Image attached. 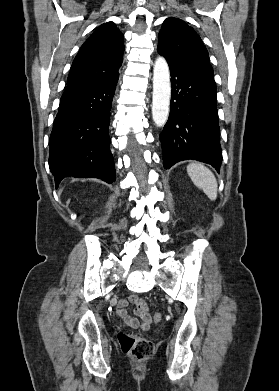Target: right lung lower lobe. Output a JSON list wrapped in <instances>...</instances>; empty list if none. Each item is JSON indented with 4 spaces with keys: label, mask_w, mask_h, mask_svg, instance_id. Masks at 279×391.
<instances>
[{
    "label": "right lung lower lobe",
    "mask_w": 279,
    "mask_h": 391,
    "mask_svg": "<svg viewBox=\"0 0 279 391\" xmlns=\"http://www.w3.org/2000/svg\"><path fill=\"white\" fill-rule=\"evenodd\" d=\"M118 78L119 74L62 95L49 140V168L56 187L66 177L115 181L108 128Z\"/></svg>",
    "instance_id": "1"
}]
</instances>
